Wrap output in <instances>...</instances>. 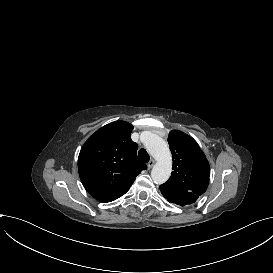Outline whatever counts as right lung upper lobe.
Returning <instances> with one entry per match:
<instances>
[{"label":"right lung upper lobe","mask_w":273,"mask_h":273,"mask_svg":"<svg viewBox=\"0 0 273 273\" xmlns=\"http://www.w3.org/2000/svg\"><path fill=\"white\" fill-rule=\"evenodd\" d=\"M132 130L125 121L109 123L92 134L80 151L81 182L98 201L111 202L124 195L147 168L137 159L138 145L131 140Z\"/></svg>","instance_id":"cb5924a9"}]
</instances>
